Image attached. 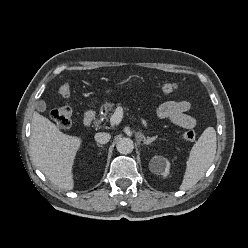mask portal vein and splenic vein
Returning a JSON list of instances; mask_svg holds the SVG:
<instances>
[{
  "instance_id": "obj_1",
  "label": "portal vein and splenic vein",
  "mask_w": 248,
  "mask_h": 248,
  "mask_svg": "<svg viewBox=\"0 0 248 248\" xmlns=\"http://www.w3.org/2000/svg\"><path fill=\"white\" fill-rule=\"evenodd\" d=\"M122 118H123V109L121 107H118L110 118L111 125L119 124ZM141 122L145 127L147 126V122L145 119L141 118Z\"/></svg>"
}]
</instances>
